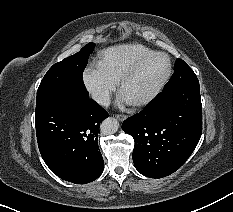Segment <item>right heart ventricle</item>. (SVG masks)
Wrapping results in <instances>:
<instances>
[{"label":"right heart ventricle","mask_w":233,"mask_h":212,"mask_svg":"<svg viewBox=\"0 0 233 212\" xmlns=\"http://www.w3.org/2000/svg\"><path fill=\"white\" fill-rule=\"evenodd\" d=\"M151 52L152 49L139 43L118 45L99 54V65L111 78L119 82L137 60Z\"/></svg>","instance_id":"right-heart-ventricle-1"}]
</instances>
